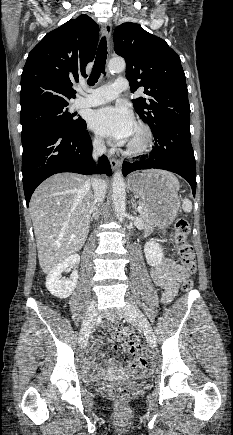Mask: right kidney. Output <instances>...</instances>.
I'll return each instance as SVG.
<instances>
[{
	"label": "right kidney",
	"mask_w": 233,
	"mask_h": 435,
	"mask_svg": "<svg viewBox=\"0 0 233 435\" xmlns=\"http://www.w3.org/2000/svg\"><path fill=\"white\" fill-rule=\"evenodd\" d=\"M80 256L74 254L55 266L46 278V288L53 295L61 299L69 297L74 291L78 281V267ZM69 267H75L69 279L62 278V272Z\"/></svg>",
	"instance_id": "1"
}]
</instances>
